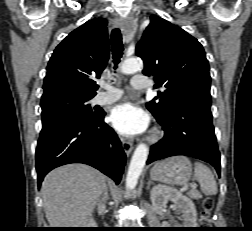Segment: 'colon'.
Masks as SVG:
<instances>
[{"label":"colon","instance_id":"obj_1","mask_svg":"<svg viewBox=\"0 0 252 231\" xmlns=\"http://www.w3.org/2000/svg\"><path fill=\"white\" fill-rule=\"evenodd\" d=\"M213 208V202L211 199H205L202 203V212L199 217V224L202 226L210 223V213Z\"/></svg>","mask_w":252,"mask_h":231}]
</instances>
